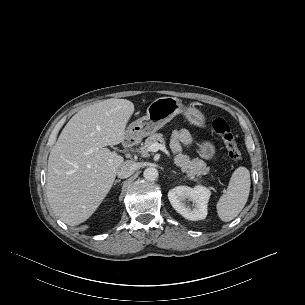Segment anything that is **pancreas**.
I'll use <instances>...</instances> for the list:
<instances>
[{
  "instance_id": "cf45deb5",
  "label": "pancreas",
  "mask_w": 305,
  "mask_h": 305,
  "mask_svg": "<svg viewBox=\"0 0 305 305\" xmlns=\"http://www.w3.org/2000/svg\"><path fill=\"white\" fill-rule=\"evenodd\" d=\"M157 142H164L163 134L155 133L152 134L145 140V143L139 149V152L143 157H147L149 155L148 148L151 144ZM174 164L181 168L182 172L187 173L189 177L206 175L209 172V168L206 166V163L203 160L195 158L193 160L190 159L188 155L179 153L174 157Z\"/></svg>"
}]
</instances>
